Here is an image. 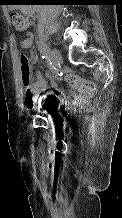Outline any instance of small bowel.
I'll use <instances>...</instances> for the list:
<instances>
[{
	"mask_svg": "<svg viewBox=\"0 0 122 218\" xmlns=\"http://www.w3.org/2000/svg\"><path fill=\"white\" fill-rule=\"evenodd\" d=\"M33 41H34V35L32 32L28 31V32H26L25 36L22 38V40L20 42V46L22 48H30L33 45ZM30 57H31V63L34 64V63L39 62L38 55L35 51L31 52ZM51 85L53 88H57V83L53 80H51ZM47 89H48V84H47L46 80L44 79V77L42 76V74L40 72H37L32 79L31 92L29 95L26 96L25 105L28 107L27 103L30 100L32 102V106H34L35 102L38 100L39 93L44 92ZM48 97L53 98V100L48 102V103L44 102L42 105V107L44 109H48L49 106H52L53 104H55L61 100V98L58 95L54 94L53 92L47 93L43 97V99H46ZM75 99H78V97H75ZM31 107H28V108H31Z\"/></svg>",
	"mask_w": 122,
	"mask_h": 218,
	"instance_id": "c3829d8e",
	"label": "small bowel"
}]
</instances>
